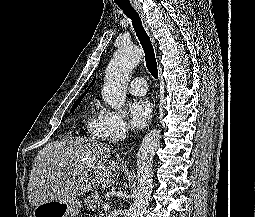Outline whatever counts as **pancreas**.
<instances>
[{
  "label": "pancreas",
  "instance_id": "obj_1",
  "mask_svg": "<svg viewBox=\"0 0 255 217\" xmlns=\"http://www.w3.org/2000/svg\"><path fill=\"white\" fill-rule=\"evenodd\" d=\"M101 203L102 200L99 198L98 192L91 193L90 196L84 200V204L89 210H95Z\"/></svg>",
  "mask_w": 255,
  "mask_h": 217
}]
</instances>
